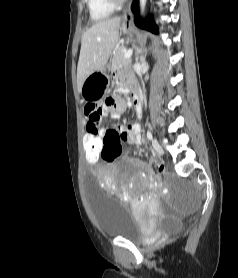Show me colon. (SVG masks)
<instances>
[{"mask_svg":"<svg viewBox=\"0 0 238 278\" xmlns=\"http://www.w3.org/2000/svg\"><path fill=\"white\" fill-rule=\"evenodd\" d=\"M106 100H115L108 97ZM105 137H83V149L86 162H99L101 156L106 161H113L122 153L121 143L115 141L112 144H104ZM156 168L160 173H164L165 168L161 162L156 163Z\"/></svg>","mask_w":238,"mask_h":278,"instance_id":"colon-1","label":"colon"}]
</instances>
